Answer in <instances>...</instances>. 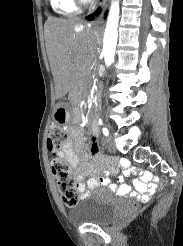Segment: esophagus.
Returning a JSON list of instances; mask_svg holds the SVG:
<instances>
[{
    "instance_id": "esophagus-1",
    "label": "esophagus",
    "mask_w": 183,
    "mask_h": 246,
    "mask_svg": "<svg viewBox=\"0 0 183 246\" xmlns=\"http://www.w3.org/2000/svg\"><path fill=\"white\" fill-rule=\"evenodd\" d=\"M108 2H109V0H103L102 11H101V14H100L98 20L96 21L97 24H100L102 22L103 15H104V10H105V7H106Z\"/></svg>"
}]
</instances>
